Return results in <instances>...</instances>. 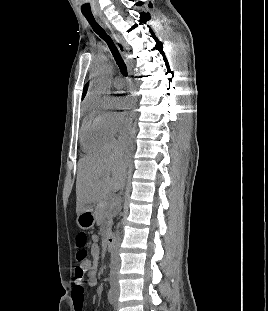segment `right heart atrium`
<instances>
[{
	"label": "right heart atrium",
	"mask_w": 268,
	"mask_h": 311,
	"mask_svg": "<svg viewBox=\"0 0 268 311\" xmlns=\"http://www.w3.org/2000/svg\"><path fill=\"white\" fill-rule=\"evenodd\" d=\"M89 108L113 136L125 129L126 124L123 117L114 111L112 104L107 98L93 99Z\"/></svg>",
	"instance_id": "right-heart-atrium-1"
}]
</instances>
